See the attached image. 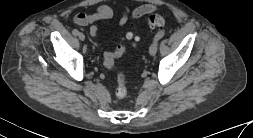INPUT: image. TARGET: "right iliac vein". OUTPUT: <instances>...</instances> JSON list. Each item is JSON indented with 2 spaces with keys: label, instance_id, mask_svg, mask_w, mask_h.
Returning a JSON list of instances; mask_svg holds the SVG:
<instances>
[{
  "label": "right iliac vein",
  "instance_id": "right-iliac-vein-1",
  "mask_svg": "<svg viewBox=\"0 0 253 138\" xmlns=\"http://www.w3.org/2000/svg\"><path fill=\"white\" fill-rule=\"evenodd\" d=\"M78 37H79V39H80L81 41H84V39H85V35H84L83 33H79V34H78Z\"/></svg>",
  "mask_w": 253,
  "mask_h": 138
}]
</instances>
